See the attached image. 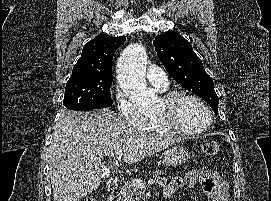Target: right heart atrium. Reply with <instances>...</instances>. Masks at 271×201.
I'll use <instances>...</instances> for the list:
<instances>
[{
  "label": "right heart atrium",
  "mask_w": 271,
  "mask_h": 201,
  "mask_svg": "<svg viewBox=\"0 0 271 201\" xmlns=\"http://www.w3.org/2000/svg\"><path fill=\"white\" fill-rule=\"evenodd\" d=\"M116 102L118 110L123 117V120L128 125L137 128H145L148 125L150 117H147L140 113L123 91H119L117 93Z\"/></svg>",
  "instance_id": "right-heart-atrium-1"
}]
</instances>
